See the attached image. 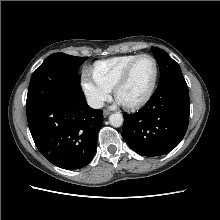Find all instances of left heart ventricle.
Masks as SVG:
<instances>
[{"label":"left heart ventricle","instance_id":"1","mask_svg":"<svg viewBox=\"0 0 220 220\" xmlns=\"http://www.w3.org/2000/svg\"><path fill=\"white\" fill-rule=\"evenodd\" d=\"M154 75V62L148 57L142 58L134 67L127 83L119 90L118 99L124 103L142 99L149 91Z\"/></svg>","mask_w":220,"mask_h":220}]
</instances>
